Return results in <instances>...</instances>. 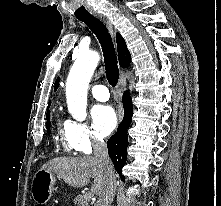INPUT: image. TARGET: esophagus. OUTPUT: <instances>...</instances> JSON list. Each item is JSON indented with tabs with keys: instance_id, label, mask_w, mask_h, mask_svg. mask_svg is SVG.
Returning <instances> with one entry per match:
<instances>
[{
	"instance_id": "obj_1",
	"label": "esophagus",
	"mask_w": 221,
	"mask_h": 206,
	"mask_svg": "<svg viewBox=\"0 0 221 206\" xmlns=\"http://www.w3.org/2000/svg\"><path fill=\"white\" fill-rule=\"evenodd\" d=\"M95 16L98 19H100L107 26V28L109 29L111 35L114 37L115 36V31H114V28L112 26L111 21L107 17H105L103 15L95 14ZM125 81H126L125 76L122 73L121 77H120V81H119V91L120 92L123 90V88L125 86Z\"/></svg>"
}]
</instances>
